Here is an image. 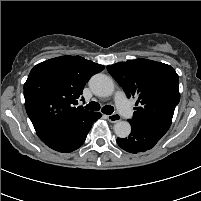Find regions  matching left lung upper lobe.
<instances>
[{
    "label": "left lung upper lobe",
    "instance_id": "1",
    "mask_svg": "<svg viewBox=\"0 0 201 201\" xmlns=\"http://www.w3.org/2000/svg\"><path fill=\"white\" fill-rule=\"evenodd\" d=\"M107 70L128 97L138 98L130 123L169 129L180 100L178 75L171 66L136 59L109 65Z\"/></svg>",
    "mask_w": 201,
    "mask_h": 201
}]
</instances>
